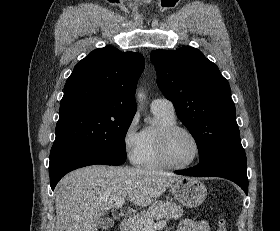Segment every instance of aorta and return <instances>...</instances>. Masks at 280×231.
<instances>
[{"mask_svg":"<svg viewBox=\"0 0 280 231\" xmlns=\"http://www.w3.org/2000/svg\"><path fill=\"white\" fill-rule=\"evenodd\" d=\"M137 98H138V102H141V104H142L145 96H144V94H142V92H138ZM145 121H147V123H156V121H154V119H152V117H145Z\"/></svg>","mask_w":280,"mask_h":231,"instance_id":"1","label":"aorta"}]
</instances>
